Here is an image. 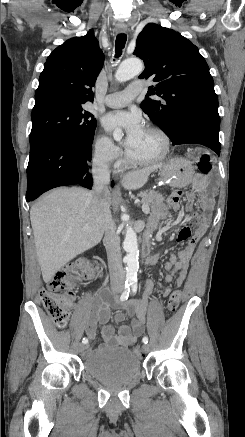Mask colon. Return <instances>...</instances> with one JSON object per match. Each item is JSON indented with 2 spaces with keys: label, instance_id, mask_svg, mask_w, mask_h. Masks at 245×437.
Returning <instances> with one entry per match:
<instances>
[{
  "label": "colon",
  "instance_id": "5ec220e1",
  "mask_svg": "<svg viewBox=\"0 0 245 437\" xmlns=\"http://www.w3.org/2000/svg\"><path fill=\"white\" fill-rule=\"evenodd\" d=\"M212 163L210 156L202 154L198 158V169L202 174H208L211 171ZM182 193L180 191L173 192L169 197V202L178 203L181 200ZM82 273L81 280L91 281L99 276V270L91 262L81 263ZM73 275L70 270H64L55 275L49 282L46 289L41 292V300L45 310L50 316L53 323L63 328L67 325L69 319V307L74 299V293L71 290ZM181 300V292L173 291L167 302V309L170 313H174L179 307ZM136 355L143 354L142 348L139 345L133 347Z\"/></svg>",
  "mask_w": 245,
  "mask_h": 437
}]
</instances>
